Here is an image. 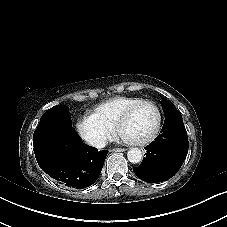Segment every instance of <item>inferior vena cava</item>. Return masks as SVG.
Wrapping results in <instances>:
<instances>
[{
	"mask_svg": "<svg viewBox=\"0 0 227 227\" xmlns=\"http://www.w3.org/2000/svg\"><path fill=\"white\" fill-rule=\"evenodd\" d=\"M106 139L104 138H96L94 141H93V144L95 147L97 148H103L106 146Z\"/></svg>",
	"mask_w": 227,
	"mask_h": 227,
	"instance_id": "602c4592",
	"label": "inferior vena cava"
}]
</instances>
